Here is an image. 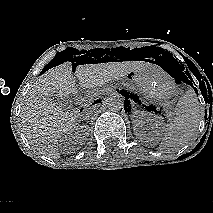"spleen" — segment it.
Instances as JSON below:
<instances>
[{
    "label": "spleen",
    "instance_id": "obj_1",
    "mask_svg": "<svg viewBox=\"0 0 213 213\" xmlns=\"http://www.w3.org/2000/svg\"><path fill=\"white\" fill-rule=\"evenodd\" d=\"M174 117L164 128L158 150L170 152L186 145L196 134L202 117V108L193 89H189L178 101Z\"/></svg>",
    "mask_w": 213,
    "mask_h": 213
}]
</instances>
